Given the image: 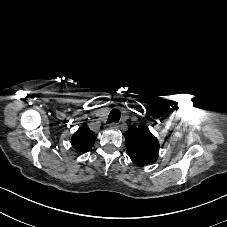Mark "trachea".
<instances>
[{"label": "trachea", "mask_w": 227, "mask_h": 227, "mask_svg": "<svg viewBox=\"0 0 227 227\" xmlns=\"http://www.w3.org/2000/svg\"><path fill=\"white\" fill-rule=\"evenodd\" d=\"M120 120V111L118 109H113L107 119L106 124L118 123Z\"/></svg>", "instance_id": "3493384b"}]
</instances>
